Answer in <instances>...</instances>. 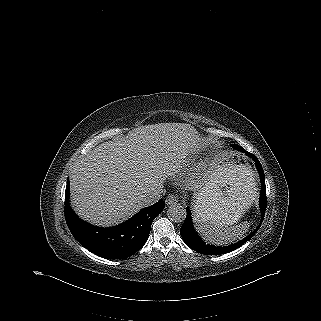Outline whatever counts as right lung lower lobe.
Masks as SVG:
<instances>
[{"mask_svg": "<svg viewBox=\"0 0 321 321\" xmlns=\"http://www.w3.org/2000/svg\"><path fill=\"white\" fill-rule=\"evenodd\" d=\"M69 179L65 191V219L74 238L94 254L122 259L135 254L146 243L152 221L165 208L164 201L143 208L127 221L110 228H99L82 221L70 208Z\"/></svg>", "mask_w": 321, "mask_h": 321, "instance_id": "1", "label": "right lung lower lobe"}]
</instances>
